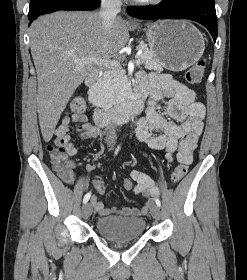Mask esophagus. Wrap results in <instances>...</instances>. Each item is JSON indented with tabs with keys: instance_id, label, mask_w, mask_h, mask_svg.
I'll list each match as a JSON object with an SVG mask.
<instances>
[{
	"instance_id": "34e87169",
	"label": "esophagus",
	"mask_w": 247,
	"mask_h": 280,
	"mask_svg": "<svg viewBox=\"0 0 247 280\" xmlns=\"http://www.w3.org/2000/svg\"><path fill=\"white\" fill-rule=\"evenodd\" d=\"M128 23H130V24H135V21H134L133 19L129 18V19H128Z\"/></svg>"
}]
</instances>
